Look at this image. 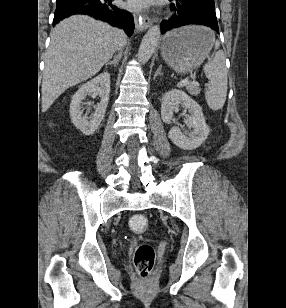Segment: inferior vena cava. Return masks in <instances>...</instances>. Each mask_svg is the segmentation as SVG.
Returning a JSON list of instances; mask_svg holds the SVG:
<instances>
[{
	"mask_svg": "<svg viewBox=\"0 0 286 308\" xmlns=\"http://www.w3.org/2000/svg\"><path fill=\"white\" fill-rule=\"evenodd\" d=\"M121 34L123 37H126L125 36V33L123 31H121ZM125 39L119 44V46L117 47V50H120L124 45H125Z\"/></svg>",
	"mask_w": 286,
	"mask_h": 308,
	"instance_id": "1",
	"label": "inferior vena cava"
}]
</instances>
